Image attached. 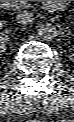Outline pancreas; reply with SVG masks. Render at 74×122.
<instances>
[{
    "label": "pancreas",
    "mask_w": 74,
    "mask_h": 122,
    "mask_svg": "<svg viewBox=\"0 0 74 122\" xmlns=\"http://www.w3.org/2000/svg\"><path fill=\"white\" fill-rule=\"evenodd\" d=\"M15 8H21V7H31L30 1H16L14 4Z\"/></svg>",
    "instance_id": "pancreas-1"
}]
</instances>
